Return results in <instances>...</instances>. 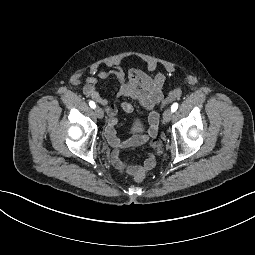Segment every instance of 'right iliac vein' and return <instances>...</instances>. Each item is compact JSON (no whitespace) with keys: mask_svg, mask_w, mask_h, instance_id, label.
<instances>
[{"mask_svg":"<svg viewBox=\"0 0 255 255\" xmlns=\"http://www.w3.org/2000/svg\"><path fill=\"white\" fill-rule=\"evenodd\" d=\"M95 114L99 119H102L104 116V112L100 107L95 108Z\"/></svg>","mask_w":255,"mask_h":255,"instance_id":"obj_1","label":"right iliac vein"}]
</instances>
